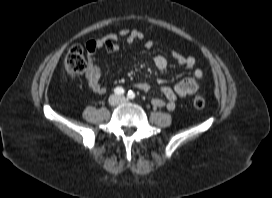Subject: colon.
I'll list each match as a JSON object with an SVG mask.
<instances>
[{"label":"colon","instance_id":"colon-1","mask_svg":"<svg viewBox=\"0 0 272 198\" xmlns=\"http://www.w3.org/2000/svg\"><path fill=\"white\" fill-rule=\"evenodd\" d=\"M64 68L68 76L76 80L86 70L87 64L84 54V49L79 44L72 45L64 58ZM193 104L196 108H203L205 106V99L201 95L194 97Z\"/></svg>","mask_w":272,"mask_h":198}]
</instances>
